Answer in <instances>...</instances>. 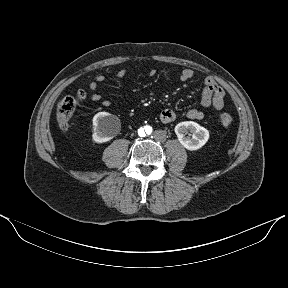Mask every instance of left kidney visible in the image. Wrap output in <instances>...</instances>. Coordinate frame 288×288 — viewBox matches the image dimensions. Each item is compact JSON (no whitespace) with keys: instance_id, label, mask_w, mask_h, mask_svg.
Returning <instances> with one entry per match:
<instances>
[{"instance_id":"1","label":"left kidney","mask_w":288,"mask_h":288,"mask_svg":"<svg viewBox=\"0 0 288 288\" xmlns=\"http://www.w3.org/2000/svg\"><path fill=\"white\" fill-rule=\"evenodd\" d=\"M174 130L179 142L187 150H198L209 139V131L193 121L180 122L175 126ZM187 133H191V136H186Z\"/></svg>"}]
</instances>
